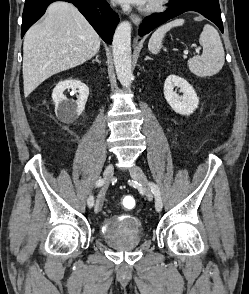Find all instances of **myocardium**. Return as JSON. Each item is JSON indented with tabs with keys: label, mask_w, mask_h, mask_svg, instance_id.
Instances as JSON below:
<instances>
[{
	"label": "myocardium",
	"mask_w": 249,
	"mask_h": 294,
	"mask_svg": "<svg viewBox=\"0 0 249 294\" xmlns=\"http://www.w3.org/2000/svg\"><path fill=\"white\" fill-rule=\"evenodd\" d=\"M169 0H153L146 4L143 8L146 12H155L161 10Z\"/></svg>",
	"instance_id": "1"
}]
</instances>
